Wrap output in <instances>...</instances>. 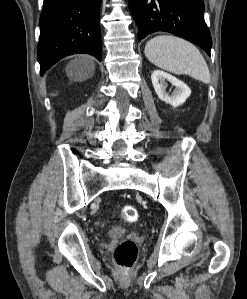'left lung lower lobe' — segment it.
I'll return each mask as SVG.
<instances>
[{
  "mask_svg": "<svg viewBox=\"0 0 247 299\" xmlns=\"http://www.w3.org/2000/svg\"><path fill=\"white\" fill-rule=\"evenodd\" d=\"M129 5L139 27V41L165 31L200 46L210 55L212 39L204 21L203 0H129Z\"/></svg>",
  "mask_w": 247,
  "mask_h": 299,
  "instance_id": "0a47b994",
  "label": "left lung lower lobe"
}]
</instances>
